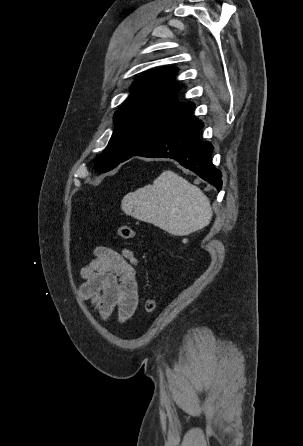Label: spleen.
I'll use <instances>...</instances> for the list:
<instances>
[{"instance_id": "obj_1", "label": "spleen", "mask_w": 303, "mask_h": 446, "mask_svg": "<svg viewBox=\"0 0 303 446\" xmlns=\"http://www.w3.org/2000/svg\"><path fill=\"white\" fill-rule=\"evenodd\" d=\"M122 211L174 236H185L207 226L213 216L210 201L195 185L164 171L153 184L128 193Z\"/></svg>"}]
</instances>
